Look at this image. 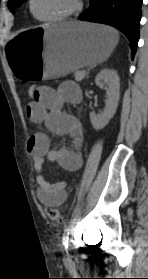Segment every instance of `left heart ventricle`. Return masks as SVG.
Here are the masks:
<instances>
[{
    "label": "left heart ventricle",
    "mask_w": 148,
    "mask_h": 279,
    "mask_svg": "<svg viewBox=\"0 0 148 279\" xmlns=\"http://www.w3.org/2000/svg\"><path fill=\"white\" fill-rule=\"evenodd\" d=\"M74 5V0H34L33 9L39 17L60 15Z\"/></svg>",
    "instance_id": "obj_1"
}]
</instances>
